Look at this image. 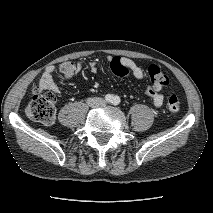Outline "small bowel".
Masks as SVG:
<instances>
[{
	"mask_svg": "<svg viewBox=\"0 0 213 213\" xmlns=\"http://www.w3.org/2000/svg\"><path fill=\"white\" fill-rule=\"evenodd\" d=\"M113 59L114 58L108 57L106 59V63L111 65V62L113 61ZM119 59L129 65L131 73L134 78L138 80H142L144 78V70L140 66H138L137 64H135L132 60L128 58H119ZM81 68H82V64L80 62L76 63L77 71H79ZM89 68L91 72L93 73L97 72L98 70L97 62L96 61L90 62ZM54 72H55V66L53 65L47 66L41 76L39 85L43 89L50 90L60 95L61 91L53 78ZM145 94L152 99V102L155 107L162 106L164 98L158 89L154 88L153 86H149L145 89Z\"/></svg>",
	"mask_w": 213,
	"mask_h": 213,
	"instance_id": "small-bowel-1",
	"label": "small bowel"
}]
</instances>
